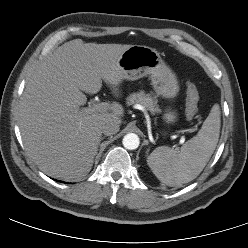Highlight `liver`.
Wrapping results in <instances>:
<instances>
[{"label":"liver","mask_w":248,"mask_h":248,"mask_svg":"<svg viewBox=\"0 0 248 248\" xmlns=\"http://www.w3.org/2000/svg\"><path fill=\"white\" fill-rule=\"evenodd\" d=\"M132 45L64 43L43 60L29 77L19 105V128L28 156L45 174L65 181L91 170L106 120L122 123L117 102L111 112L81 107L96 94L102 80L119 96L123 72L120 56Z\"/></svg>","instance_id":"liver-1"}]
</instances>
